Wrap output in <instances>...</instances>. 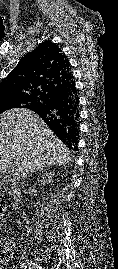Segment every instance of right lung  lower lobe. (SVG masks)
<instances>
[{
    "label": "right lung lower lobe",
    "mask_w": 118,
    "mask_h": 269,
    "mask_svg": "<svg viewBox=\"0 0 118 269\" xmlns=\"http://www.w3.org/2000/svg\"><path fill=\"white\" fill-rule=\"evenodd\" d=\"M79 102L75 83L53 95L46 104L32 109L39 116L44 115L51 129L64 144L77 151L79 135Z\"/></svg>",
    "instance_id": "1"
}]
</instances>
